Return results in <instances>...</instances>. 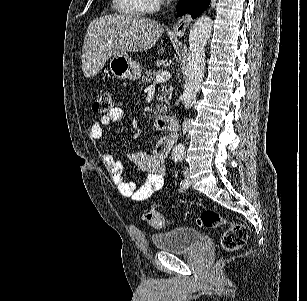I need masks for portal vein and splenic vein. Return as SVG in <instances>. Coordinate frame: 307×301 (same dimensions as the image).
<instances>
[{
  "instance_id": "obj_1",
  "label": "portal vein and splenic vein",
  "mask_w": 307,
  "mask_h": 301,
  "mask_svg": "<svg viewBox=\"0 0 307 301\" xmlns=\"http://www.w3.org/2000/svg\"><path fill=\"white\" fill-rule=\"evenodd\" d=\"M170 78V72L169 70H161V72H158L154 78V82L150 84V86H155L157 82H164V80H169Z\"/></svg>"
}]
</instances>
